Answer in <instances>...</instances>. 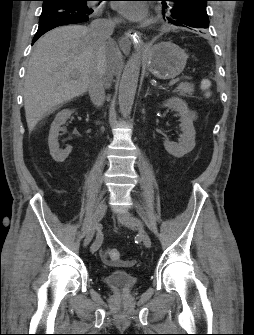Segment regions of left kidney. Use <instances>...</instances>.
<instances>
[{"mask_svg":"<svg viewBox=\"0 0 254 335\" xmlns=\"http://www.w3.org/2000/svg\"><path fill=\"white\" fill-rule=\"evenodd\" d=\"M164 107H168L179 113L181 116V131L179 142H171L168 139L164 141V147L166 151L174 157L181 158L185 154L191 152L195 147V129L193 126V120L189 113L188 106L185 101L177 97H173L167 100Z\"/></svg>","mask_w":254,"mask_h":335,"instance_id":"1","label":"left kidney"}]
</instances>
